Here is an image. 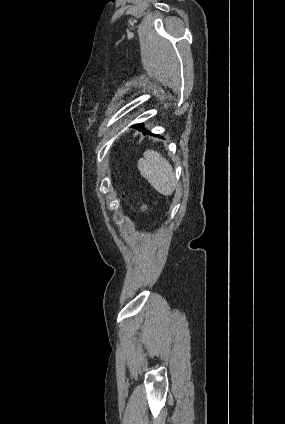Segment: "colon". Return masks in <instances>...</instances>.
Here are the masks:
<instances>
[{"mask_svg": "<svg viewBox=\"0 0 285 424\" xmlns=\"http://www.w3.org/2000/svg\"><path fill=\"white\" fill-rule=\"evenodd\" d=\"M145 209H146L145 205H142L141 210L144 211Z\"/></svg>", "mask_w": 285, "mask_h": 424, "instance_id": "1", "label": "colon"}]
</instances>
